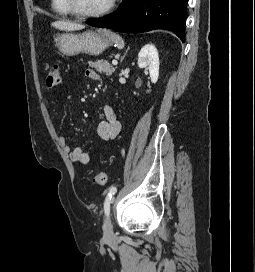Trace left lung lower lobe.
I'll return each instance as SVG.
<instances>
[{
    "mask_svg": "<svg viewBox=\"0 0 255 272\" xmlns=\"http://www.w3.org/2000/svg\"><path fill=\"white\" fill-rule=\"evenodd\" d=\"M187 2L188 0H123L114 13L87 20L86 23L123 33L166 29L174 32L184 42Z\"/></svg>",
    "mask_w": 255,
    "mask_h": 272,
    "instance_id": "0a47b994",
    "label": "left lung lower lobe"
}]
</instances>
